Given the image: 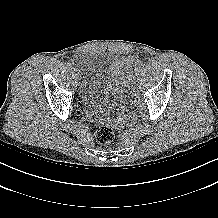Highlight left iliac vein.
Segmentation results:
<instances>
[{"mask_svg":"<svg viewBox=\"0 0 218 218\" xmlns=\"http://www.w3.org/2000/svg\"><path fill=\"white\" fill-rule=\"evenodd\" d=\"M135 84L134 80H131L128 84V91L131 93L133 91V85Z\"/></svg>","mask_w":218,"mask_h":218,"instance_id":"4c4485c4","label":"left iliac vein"}]
</instances>
